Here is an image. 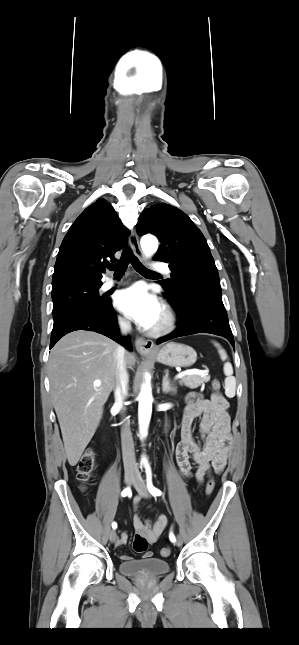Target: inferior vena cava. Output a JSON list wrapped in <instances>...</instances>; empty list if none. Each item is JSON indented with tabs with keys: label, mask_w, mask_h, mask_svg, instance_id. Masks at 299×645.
I'll list each match as a JSON object with an SVG mask.
<instances>
[{
	"label": "inferior vena cava",
	"mask_w": 299,
	"mask_h": 645,
	"mask_svg": "<svg viewBox=\"0 0 299 645\" xmlns=\"http://www.w3.org/2000/svg\"><path fill=\"white\" fill-rule=\"evenodd\" d=\"M121 333L126 335L131 330V323L127 319H119ZM116 360V386L114 389L115 404L122 406L127 396L129 375L127 372V361L125 358V349L118 346L115 353ZM122 456L125 471L138 472L134 443L129 422H125L121 428Z\"/></svg>",
	"instance_id": "1"
}]
</instances>
